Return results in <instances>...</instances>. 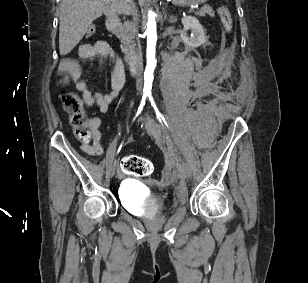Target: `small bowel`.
Segmentation results:
<instances>
[{"label":"small bowel","mask_w":308,"mask_h":283,"mask_svg":"<svg viewBox=\"0 0 308 283\" xmlns=\"http://www.w3.org/2000/svg\"><path fill=\"white\" fill-rule=\"evenodd\" d=\"M80 57L90 59L95 57L114 58L111 46L104 40H98L94 44H84L79 48ZM60 70L65 74L73 87L81 93L87 107L98 106L102 113H106L112 103L118 98L125 84V72L120 61L115 60L111 73V91L107 94L91 92L85 81L81 79V68L76 59L65 58L61 62ZM92 144L83 141L80 149L88 156H101L104 149L101 144V133L98 126L93 127Z\"/></svg>","instance_id":"obj_1"}]
</instances>
